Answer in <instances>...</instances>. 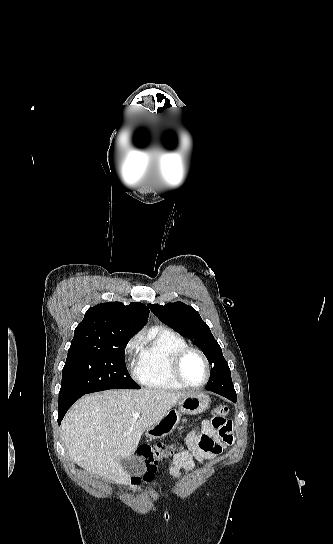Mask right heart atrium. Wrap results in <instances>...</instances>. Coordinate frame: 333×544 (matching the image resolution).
Here are the masks:
<instances>
[{"instance_id": "obj_1", "label": "right heart atrium", "mask_w": 333, "mask_h": 544, "mask_svg": "<svg viewBox=\"0 0 333 544\" xmlns=\"http://www.w3.org/2000/svg\"><path fill=\"white\" fill-rule=\"evenodd\" d=\"M139 345V337L135 336L128 341L125 346L124 354L128 364L135 365L137 360V348Z\"/></svg>"}]
</instances>
